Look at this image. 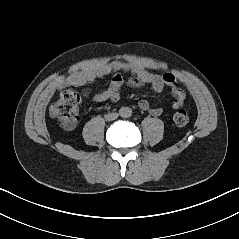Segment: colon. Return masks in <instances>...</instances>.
Segmentation results:
<instances>
[{"label":"colon","mask_w":239,"mask_h":239,"mask_svg":"<svg viewBox=\"0 0 239 239\" xmlns=\"http://www.w3.org/2000/svg\"><path fill=\"white\" fill-rule=\"evenodd\" d=\"M80 96L72 86L64 91L60 98L52 105V113L58 116L65 124L71 125L77 120V111ZM188 121V114L185 109H178L174 114L176 125L183 126Z\"/></svg>","instance_id":"obj_1"}]
</instances>
